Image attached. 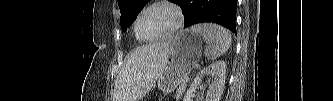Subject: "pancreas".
I'll list each match as a JSON object with an SVG mask.
<instances>
[{"label":"pancreas","mask_w":333,"mask_h":101,"mask_svg":"<svg viewBox=\"0 0 333 101\" xmlns=\"http://www.w3.org/2000/svg\"><path fill=\"white\" fill-rule=\"evenodd\" d=\"M187 82H188V77H186L185 79L182 80L179 88L177 89L176 91V95H175V98L176 99H180L183 92L185 91L186 89V86H187Z\"/></svg>","instance_id":"cf45deb5"}]
</instances>
